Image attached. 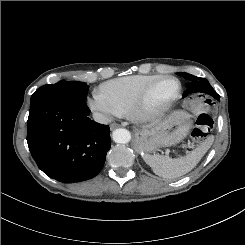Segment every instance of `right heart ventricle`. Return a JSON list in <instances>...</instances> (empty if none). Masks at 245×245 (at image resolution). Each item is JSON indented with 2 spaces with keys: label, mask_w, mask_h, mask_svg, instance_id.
<instances>
[{
  "label": "right heart ventricle",
  "mask_w": 245,
  "mask_h": 245,
  "mask_svg": "<svg viewBox=\"0 0 245 245\" xmlns=\"http://www.w3.org/2000/svg\"><path fill=\"white\" fill-rule=\"evenodd\" d=\"M162 75H132L107 81L99 91L113 103L122 115L129 114L141 92Z\"/></svg>",
  "instance_id": "right-heart-ventricle-1"
}]
</instances>
